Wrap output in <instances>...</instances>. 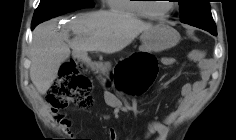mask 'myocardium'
Returning a JSON list of instances; mask_svg holds the SVG:
<instances>
[{
    "label": "myocardium",
    "mask_w": 236,
    "mask_h": 140,
    "mask_svg": "<svg viewBox=\"0 0 236 140\" xmlns=\"http://www.w3.org/2000/svg\"><path fill=\"white\" fill-rule=\"evenodd\" d=\"M143 1H146V0H143ZM171 1H173V0H171ZM140 6H141L144 16L151 18V19H157V20L168 17L176 9V5L173 2H171V7L166 12L161 13V14L152 12L149 7V4H147V3H142V4H140Z\"/></svg>",
    "instance_id": "1"
}]
</instances>
